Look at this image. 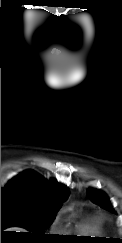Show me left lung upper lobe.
Masks as SVG:
<instances>
[{
	"instance_id": "1",
	"label": "left lung upper lobe",
	"mask_w": 122,
	"mask_h": 243,
	"mask_svg": "<svg viewBox=\"0 0 122 243\" xmlns=\"http://www.w3.org/2000/svg\"><path fill=\"white\" fill-rule=\"evenodd\" d=\"M87 196L88 198L91 199L92 202L100 205L102 208L110 212H114L113 208L110 206L108 199L104 193L90 189L87 192Z\"/></svg>"
}]
</instances>
